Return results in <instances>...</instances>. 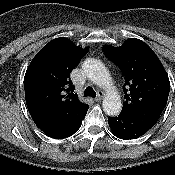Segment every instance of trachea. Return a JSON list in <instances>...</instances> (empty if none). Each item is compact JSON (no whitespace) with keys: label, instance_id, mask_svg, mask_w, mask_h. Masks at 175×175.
Here are the masks:
<instances>
[{"label":"trachea","instance_id":"3493384b","mask_svg":"<svg viewBox=\"0 0 175 175\" xmlns=\"http://www.w3.org/2000/svg\"><path fill=\"white\" fill-rule=\"evenodd\" d=\"M84 96H91V97H96V92L94 91V89L90 86L86 87V89L84 90Z\"/></svg>","mask_w":175,"mask_h":175}]
</instances>
